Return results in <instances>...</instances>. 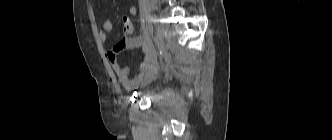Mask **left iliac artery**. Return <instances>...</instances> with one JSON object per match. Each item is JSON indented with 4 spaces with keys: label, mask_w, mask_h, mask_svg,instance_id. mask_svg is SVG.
<instances>
[{
    "label": "left iliac artery",
    "mask_w": 332,
    "mask_h": 140,
    "mask_svg": "<svg viewBox=\"0 0 332 140\" xmlns=\"http://www.w3.org/2000/svg\"><path fill=\"white\" fill-rule=\"evenodd\" d=\"M148 31H149V34L153 36V34H154V29H153L151 23L148 24Z\"/></svg>",
    "instance_id": "obj_1"
}]
</instances>
